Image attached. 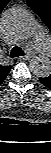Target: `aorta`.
<instances>
[{
  "label": "aorta",
  "mask_w": 51,
  "mask_h": 153,
  "mask_svg": "<svg viewBox=\"0 0 51 153\" xmlns=\"http://www.w3.org/2000/svg\"><path fill=\"white\" fill-rule=\"evenodd\" d=\"M2 26L6 35L20 40L31 37L37 28L31 14L20 7L11 8L4 13ZM29 64L31 72L37 77L44 78L51 74V61L45 56H34Z\"/></svg>",
  "instance_id": "obj_1"
}]
</instances>
